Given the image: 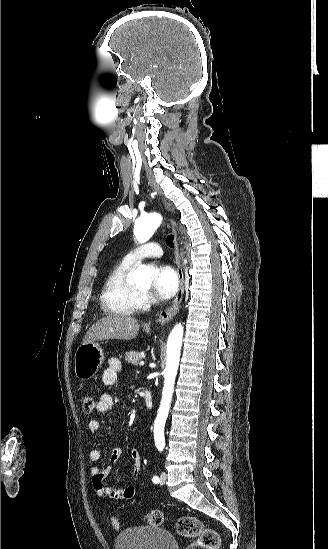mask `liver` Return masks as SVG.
<instances>
[{
    "label": "liver",
    "mask_w": 328,
    "mask_h": 549,
    "mask_svg": "<svg viewBox=\"0 0 328 549\" xmlns=\"http://www.w3.org/2000/svg\"><path fill=\"white\" fill-rule=\"evenodd\" d=\"M140 325L138 319L131 315H108L94 323L87 331L83 343L107 341V339H123L130 341L138 335Z\"/></svg>",
    "instance_id": "obj_1"
}]
</instances>
